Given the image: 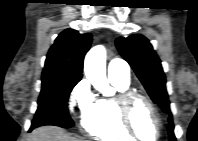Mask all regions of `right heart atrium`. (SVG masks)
I'll return each mask as SVG.
<instances>
[{
	"mask_svg": "<svg viewBox=\"0 0 198 141\" xmlns=\"http://www.w3.org/2000/svg\"><path fill=\"white\" fill-rule=\"evenodd\" d=\"M94 104V96L88 80L83 79L72 89L68 99L69 112L85 119Z\"/></svg>",
	"mask_w": 198,
	"mask_h": 141,
	"instance_id": "d8ad5b80",
	"label": "right heart atrium"
}]
</instances>
